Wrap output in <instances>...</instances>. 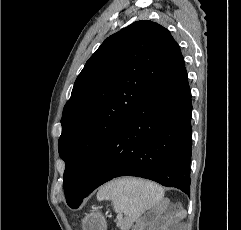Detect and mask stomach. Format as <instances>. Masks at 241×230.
<instances>
[{"instance_id":"1","label":"stomach","mask_w":241,"mask_h":230,"mask_svg":"<svg viewBox=\"0 0 241 230\" xmlns=\"http://www.w3.org/2000/svg\"><path fill=\"white\" fill-rule=\"evenodd\" d=\"M83 230H106L107 222L105 217L99 211H93L86 214L82 220Z\"/></svg>"}]
</instances>
